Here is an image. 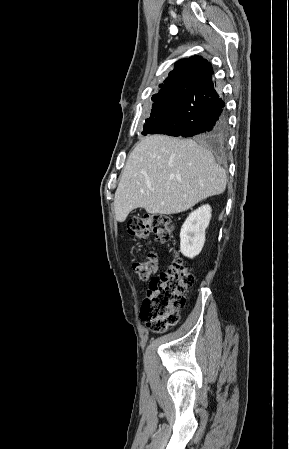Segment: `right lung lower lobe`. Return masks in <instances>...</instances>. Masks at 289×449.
Listing matches in <instances>:
<instances>
[{
  "label": "right lung lower lobe",
  "mask_w": 289,
  "mask_h": 449,
  "mask_svg": "<svg viewBox=\"0 0 289 449\" xmlns=\"http://www.w3.org/2000/svg\"><path fill=\"white\" fill-rule=\"evenodd\" d=\"M169 99L174 119L155 134L170 136L222 137L227 129L225 103L212 77L207 80H179L171 85Z\"/></svg>",
  "instance_id": "right-lung-lower-lobe-1"
}]
</instances>
